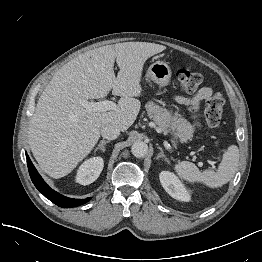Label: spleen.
Masks as SVG:
<instances>
[{"instance_id":"obj_1","label":"spleen","mask_w":262,"mask_h":262,"mask_svg":"<svg viewBox=\"0 0 262 262\" xmlns=\"http://www.w3.org/2000/svg\"><path fill=\"white\" fill-rule=\"evenodd\" d=\"M239 161V150L231 145L223 154L218 170H205L200 172L197 166L188 161H182L175 165L174 170L183 180L189 182L200 181L210 188H218L227 184L234 176Z\"/></svg>"}]
</instances>
